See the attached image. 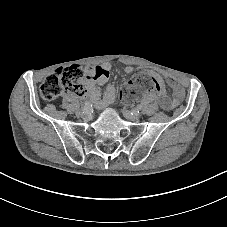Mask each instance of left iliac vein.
I'll use <instances>...</instances> for the list:
<instances>
[{"label":"left iliac vein","instance_id":"left-iliac-vein-1","mask_svg":"<svg viewBox=\"0 0 227 227\" xmlns=\"http://www.w3.org/2000/svg\"><path fill=\"white\" fill-rule=\"evenodd\" d=\"M123 114L128 120L137 121L140 119V115L136 112L132 113L128 110H123Z\"/></svg>","mask_w":227,"mask_h":227}]
</instances>
